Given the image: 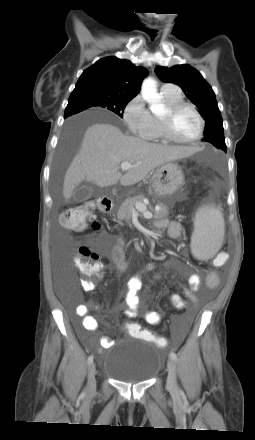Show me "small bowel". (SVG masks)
Wrapping results in <instances>:
<instances>
[{"mask_svg":"<svg viewBox=\"0 0 255 440\" xmlns=\"http://www.w3.org/2000/svg\"><path fill=\"white\" fill-rule=\"evenodd\" d=\"M155 227L158 229H168V235L172 239H178L181 237L183 233V226L181 223L177 221H171L162 218L155 222ZM125 241L120 238L117 240V243L114 245L110 258L114 265L122 272H124L127 268V264L125 261ZM224 255L218 254L216 257V261L224 259ZM154 266L150 265L148 269H152ZM160 275H157L156 278H160ZM188 285L183 288V294L192 302H196L197 298L195 292L199 289L201 285V277L196 273L189 274L188 276ZM206 284L209 288H215L219 285V278L216 272L212 271L208 274L206 279ZM84 291H91L94 288V284L91 287L82 284ZM143 288V282L139 275L130 278L127 282V292L124 296V303L126 305L125 315L129 318L135 317L141 307V299L139 297V292ZM173 298H182L178 294H172L170 299ZM90 308L87 305H78L75 308V315L77 317H81L80 328L83 331L92 332L98 329L99 323L97 318L90 315ZM144 319L147 323L152 325H157L161 321V313L158 311H148L144 313ZM80 336L83 342L87 345L91 344V340L80 331ZM114 345V340L110 337H102L100 340L101 349H108ZM166 346V345H165Z\"/></svg>","mask_w":255,"mask_h":440,"instance_id":"c3829d8e","label":"small bowel"}]
</instances>
